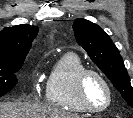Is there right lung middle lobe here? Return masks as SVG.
<instances>
[{
  "label": "right lung middle lobe",
  "mask_w": 133,
  "mask_h": 118,
  "mask_svg": "<svg viewBox=\"0 0 133 118\" xmlns=\"http://www.w3.org/2000/svg\"><path fill=\"white\" fill-rule=\"evenodd\" d=\"M23 62L0 64V97L9 92L17 84L15 73L19 71Z\"/></svg>",
  "instance_id": "dd1d6c3e"
}]
</instances>
